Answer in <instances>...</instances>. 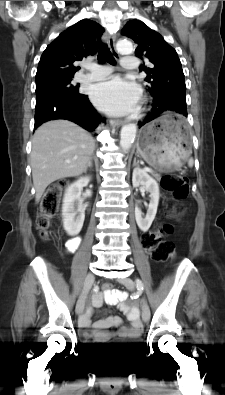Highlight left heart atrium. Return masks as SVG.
I'll use <instances>...</instances> for the list:
<instances>
[{
    "instance_id": "1",
    "label": "left heart atrium",
    "mask_w": 225,
    "mask_h": 395,
    "mask_svg": "<svg viewBox=\"0 0 225 395\" xmlns=\"http://www.w3.org/2000/svg\"><path fill=\"white\" fill-rule=\"evenodd\" d=\"M93 103L112 115H121L136 109L140 100V90L134 84L120 77H112L94 86Z\"/></svg>"
}]
</instances>
